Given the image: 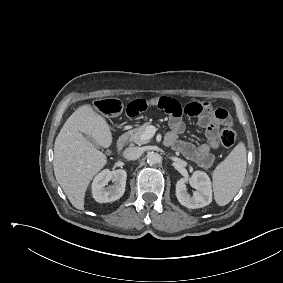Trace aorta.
Returning a JSON list of instances; mask_svg holds the SVG:
<instances>
[{"mask_svg": "<svg viewBox=\"0 0 283 283\" xmlns=\"http://www.w3.org/2000/svg\"><path fill=\"white\" fill-rule=\"evenodd\" d=\"M162 160L161 156L158 153L151 152L147 156V162L150 165L158 164Z\"/></svg>", "mask_w": 283, "mask_h": 283, "instance_id": "1", "label": "aorta"}]
</instances>
